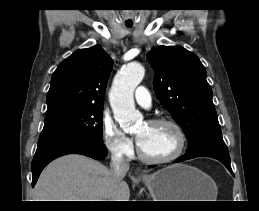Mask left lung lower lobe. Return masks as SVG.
<instances>
[{
    "mask_svg": "<svg viewBox=\"0 0 259 211\" xmlns=\"http://www.w3.org/2000/svg\"><path fill=\"white\" fill-rule=\"evenodd\" d=\"M202 156L211 157V158L219 160L226 166V168L231 172V174L234 175L232 172V169H231V165H230L229 154H228V152H225V151H220V150H215V149H203V150H199L194 153H191V154H185L184 156H181L180 158H178L176 160V162H182V161H185L188 159H192L195 157H202Z\"/></svg>",
    "mask_w": 259,
    "mask_h": 211,
    "instance_id": "1",
    "label": "left lung lower lobe"
}]
</instances>
